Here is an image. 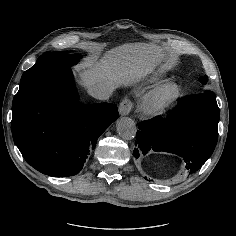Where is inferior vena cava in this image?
<instances>
[{
  "label": "inferior vena cava",
  "mask_w": 236,
  "mask_h": 236,
  "mask_svg": "<svg viewBox=\"0 0 236 236\" xmlns=\"http://www.w3.org/2000/svg\"><path fill=\"white\" fill-rule=\"evenodd\" d=\"M113 87L109 83H99L89 90L92 97L98 100H107L110 98Z\"/></svg>",
  "instance_id": "inferior-vena-cava-1"
}]
</instances>
